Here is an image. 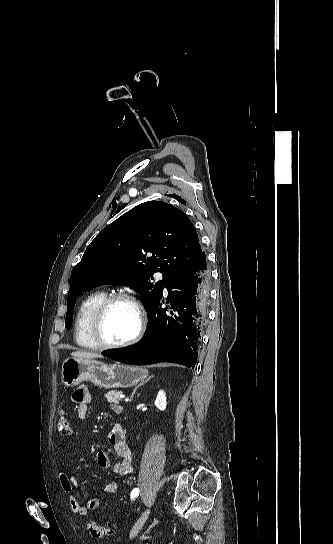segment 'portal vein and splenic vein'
I'll return each instance as SVG.
<instances>
[{"label": "portal vein and splenic vein", "instance_id": "1", "mask_svg": "<svg viewBox=\"0 0 333 544\" xmlns=\"http://www.w3.org/2000/svg\"><path fill=\"white\" fill-rule=\"evenodd\" d=\"M119 398H121V399H122V398H125V395L121 393V394L119 395Z\"/></svg>", "mask_w": 333, "mask_h": 544}]
</instances>
